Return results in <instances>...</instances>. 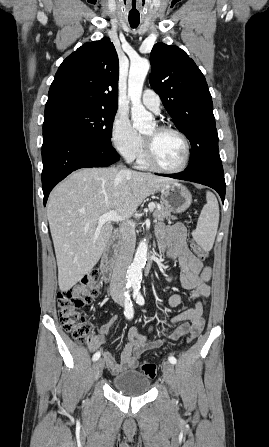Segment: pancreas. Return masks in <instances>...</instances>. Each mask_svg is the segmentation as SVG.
Instances as JSON below:
<instances>
[{
  "label": "pancreas",
  "mask_w": 269,
  "mask_h": 447,
  "mask_svg": "<svg viewBox=\"0 0 269 447\" xmlns=\"http://www.w3.org/2000/svg\"><path fill=\"white\" fill-rule=\"evenodd\" d=\"M153 218H156V220H165V218H168V220H177L176 216H171L170 210H167L165 206H161L160 210L156 208L153 212Z\"/></svg>",
  "instance_id": "pancreas-1"
}]
</instances>
